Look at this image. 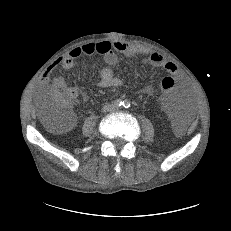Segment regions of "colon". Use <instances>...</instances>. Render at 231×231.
Instances as JSON below:
<instances>
[{
    "instance_id": "1",
    "label": "colon",
    "mask_w": 231,
    "mask_h": 231,
    "mask_svg": "<svg viewBox=\"0 0 231 231\" xmlns=\"http://www.w3.org/2000/svg\"><path fill=\"white\" fill-rule=\"evenodd\" d=\"M160 89L169 93L175 89L176 82L172 76L166 75L160 79ZM75 98V90L58 86L49 93L48 101L42 111V119L45 126L53 132H61L67 129L73 122V114L70 107Z\"/></svg>"
}]
</instances>
